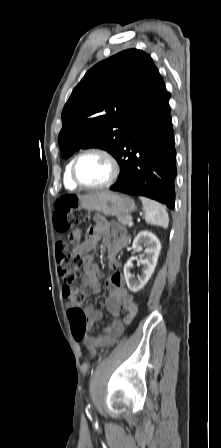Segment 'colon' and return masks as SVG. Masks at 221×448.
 <instances>
[{"mask_svg": "<svg viewBox=\"0 0 221 448\" xmlns=\"http://www.w3.org/2000/svg\"><path fill=\"white\" fill-rule=\"evenodd\" d=\"M78 201V197L74 194H65L55 201L53 223L57 232L64 233L70 227L81 223L83 216L78 208ZM76 238L77 236L73 235L70 241L75 242ZM56 260L59 274L64 280L63 294L70 303L68 313L72 335L75 340L80 341L87 331L86 316L81 309L87 290L77 286V280L86 270V260L82 255L68 251L63 244L58 246Z\"/></svg>", "mask_w": 221, "mask_h": 448, "instance_id": "5ec220e1", "label": "colon"}]
</instances>
